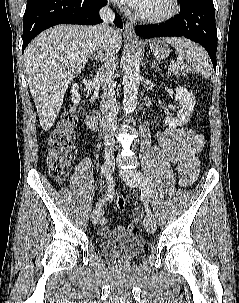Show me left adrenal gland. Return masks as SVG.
Masks as SVG:
<instances>
[{"mask_svg":"<svg viewBox=\"0 0 239 303\" xmlns=\"http://www.w3.org/2000/svg\"><path fill=\"white\" fill-rule=\"evenodd\" d=\"M151 68H153V69L155 68L158 71H160V68H159V66H158V64H157V62L155 60L153 61Z\"/></svg>","mask_w":239,"mask_h":303,"instance_id":"a2214340","label":"left adrenal gland"}]
</instances>
